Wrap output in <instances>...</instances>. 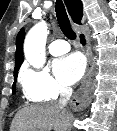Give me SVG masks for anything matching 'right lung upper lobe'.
<instances>
[{"instance_id":"right-lung-upper-lobe-1","label":"right lung upper lobe","mask_w":117,"mask_h":131,"mask_svg":"<svg viewBox=\"0 0 117 131\" xmlns=\"http://www.w3.org/2000/svg\"><path fill=\"white\" fill-rule=\"evenodd\" d=\"M65 4L74 22L80 24V21L83 16L82 2L80 0H65ZM24 37H25L24 30L21 29L16 38V57H15L14 76L18 74V70L23 62Z\"/></svg>"}]
</instances>
